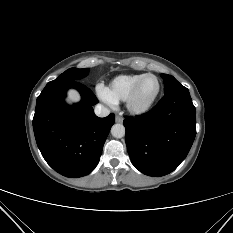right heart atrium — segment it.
I'll use <instances>...</instances> for the list:
<instances>
[{"instance_id":"1","label":"right heart atrium","mask_w":233,"mask_h":233,"mask_svg":"<svg viewBox=\"0 0 233 233\" xmlns=\"http://www.w3.org/2000/svg\"><path fill=\"white\" fill-rule=\"evenodd\" d=\"M96 93L102 101H104L108 104L114 103V100L110 96L108 89L104 85H102V84L97 85Z\"/></svg>"}]
</instances>
